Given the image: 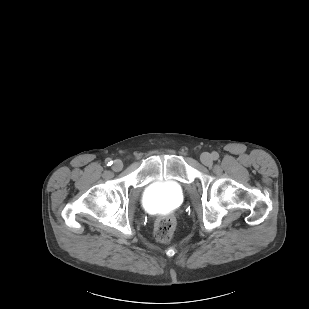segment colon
I'll return each instance as SVG.
<instances>
[{"label":"colon","mask_w":309,"mask_h":309,"mask_svg":"<svg viewBox=\"0 0 309 309\" xmlns=\"http://www.w3.org/2000/svg\"><path fill=\"white\" fill-rule=\"evenodd\" d=\"M176 227V220L172 216H163L155 225L154 235L157 241L166 243L171 240Z\"/></svg>","instance_id":"1"}]
</instances>
